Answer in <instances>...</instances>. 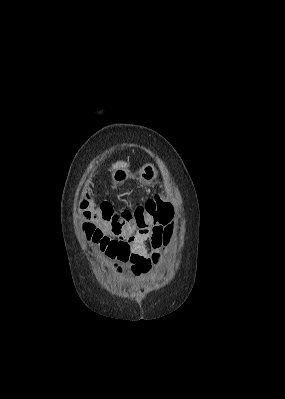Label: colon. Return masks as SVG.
Here are the masks:
<instances>
[{
	"mask_svg": "<svg viewBox=\"0 0 285 399\" xmlns=\"http://www.w3.org/2000/svg\"><path fill=\"white\" fill-rule=\"evenodd\" d=\"M127 207L133 211H138L137 225L141 226L145 222L147 215H153L156 227L169 226L171 221V204L160 197L150 198L144 201L137 199L128 202ZM80 208L85 212L90 220L82 224V230L87 234L89 240L98 244L101 252L111 260L118 262H130L132 269L138 274H145L149 271L153 262H157V257L144 259L133 255L129 244L120 238L112 235L124 223L125 218L119 213L114 212L110 203L102 202L96 204L88 193L82 195ZM92 220L98 221L101 226H97Z\"/></svg>",
	"mask_w": 285,
	"mask_h": 399,
	"instance_id": "1",
	"label": "colon"
}]
</instances>
